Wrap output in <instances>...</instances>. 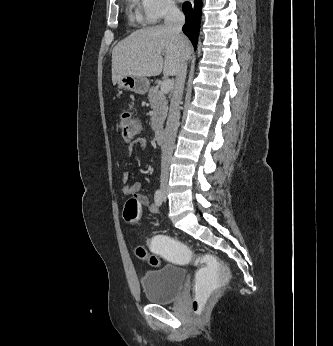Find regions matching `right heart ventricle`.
I'll return each instance as SVG.
<instances>
[{
  "label": "right heart ventricle",
  "instance_id": "obj_1",
  "mask_svg": "<svg viewBox=\"0 0 333 346\" xmlns=\"http://www.w3.org/2000/svg\"><path fill=\"white\" fill-rule=\"evenodd\" d=\"M128 3H129L128 13H129L130 20L132 22L142 23L144 19H143L142 13L140 12L137 6L138 0H128Z\"/></svg>",
  "mask_w": 333,
  "mask_h": 346
}]
</instances>
